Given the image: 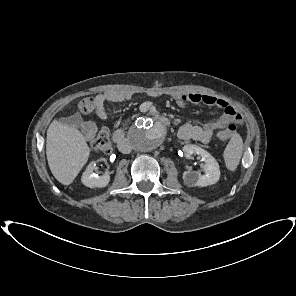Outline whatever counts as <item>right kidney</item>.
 <instances>
[{
  "mask_svg": "<svg viewBox=\"0 0 296 296\" xmlns=\"http://www.w3.org/2000/svg\"><path fill=\"white\" fill-rule=\"evenodd\" d=\"M96 169V163L91 162L86 170L83 172L81 180L82 183L89 188H103L106 187L110 181V176L105 173L103 176H98L94 173Z\"/></svg>",
  "mask_w": 296,
  "mask_h": 296,
  "instance_id": "1",
  "label": "right kidney"
}]
</instances>
